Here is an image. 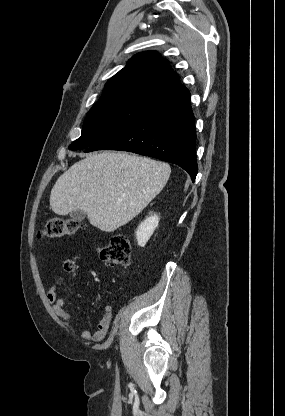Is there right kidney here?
I'll return each instance as SVG.
<instances>
[{"mask_svg": "<svg viewBox=\"0 0 285 416\" xmlns=\"http://www.w3.org/2000/svg\"><path fill=\"white\" fill-rule=\"evenodd\" d=\"M159 220V216H157V214H153V216H148L144 222H141L136 232V240L138 242V246H141V248L146 246L149 238H151L154 230H156L159 224Z\"/></svg>", "mask_w": 285, "mask_h": 416, "instance_id": "obj_1", "label": "right kidney"}]
</instances>
